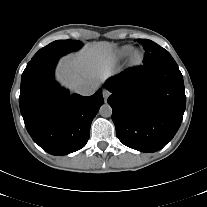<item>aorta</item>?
<instances>
[{
  "instance_id": "aorta-1",
  "label": "aorta",
  "mask_w": 207,
  "mask_h": 207,
  "mask_svg": "<svg viewBox=\"0 0 207 207\" xmlns=\"http://www.w3.org/2000/svg\"><path fill=\"white\" fill-rule=\"evenodd\" d=\"M102 117H110L112 115V107L109 104H103L99 109Z\"/></svg>"
}]
</instances>
